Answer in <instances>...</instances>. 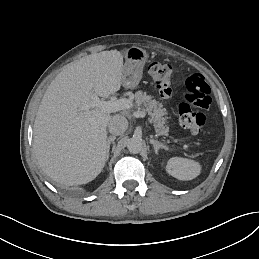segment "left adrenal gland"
<instances>
[{
    "label": "left adrenal gland",
    "mask_w": 259,
    "mask_h": 259,
    "mask_svg": "<svg viewBox=\"0 0 259 259\" xmlns=\"http://www.w3.org/2000/svg\"><path fill=\"white\" fill-rule=\"evenodd\" d=\"M150 143L154 146L155 154H156V155H158V152H159L160 149H163V150H165V151H167V152L170 151L166 146H164L163 144H160V143H159L158 141H156V140L151 139V140H150Z\"/></svg>",
    "instance_id": "left-adrenal-gland-1"
}]
</instances>
